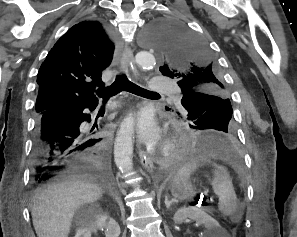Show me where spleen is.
Segmentation results:
<instances>
[{"label": "spleen", "mask_w": 297, "mask_h": 237, "mask_svg": "<svg viewBox=\"0 0 297 237\" xmlns=\"http://www.w3.org/2000/svg\"><path fill=\"white\" fill-rule=\"evenodd\" d=\"M206 162L209 161H198L196 159L190 160L180 168L177 175L175 176V180H179L181 178H189L190 175L195 172V170L201 164H204ZM214 166V178L211 182V185L214 193L219 198L218 209L223 215L232 216L237 209V197L232 182L229 179L227 171L223 167L217 164H214Z\"/></svg>", "instance_id": "obj_1"}]
</instances>
